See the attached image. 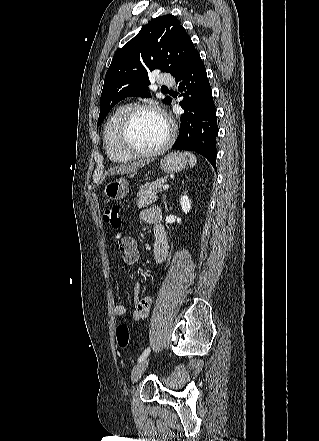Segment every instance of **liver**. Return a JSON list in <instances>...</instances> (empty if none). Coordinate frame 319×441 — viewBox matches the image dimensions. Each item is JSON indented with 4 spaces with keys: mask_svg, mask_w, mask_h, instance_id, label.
Segmentation results:
<instances>
[{
    "mask_svg": "<svg viewBox=\"0 0 319 441\" xmlns=\"http://www.w3.org/2000/svg\"><path fill=\"white\" fill-rule=\"evenodd\" d=\"M150 161H138L133 163H123L118 166H114L110 168L107 172L108 175H116V174H129L137 171L139 168L144 167Z\"/></svg>",
    "mask_w": 319,
    "mask_h": 441,
    "instance_id": "6515ba94",
    "label": "liver"
}]
</instances>
